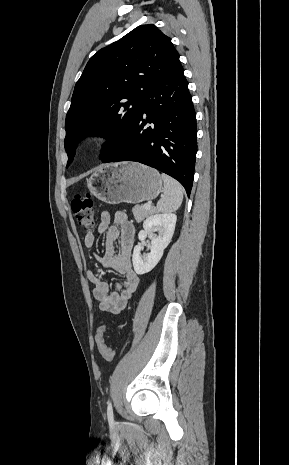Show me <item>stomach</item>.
Masks as SVG:
<instances>
[{"mask_svg":"<svg viewBox=\"0 0 289 465\" xmlns=\"http://www.w3.org/2000/svg\"><path fill=\"white\" fill-rule=\"evenodd\" d=\"M87 186L99 200L108 204L140 203L156 198L162 190L160 173L136 162L105 165L95 171Z\"/></svg>","mask_w":289,"mask_h":465,"instance_id":"stomach-1","label":"stomach"}]
</instances>
